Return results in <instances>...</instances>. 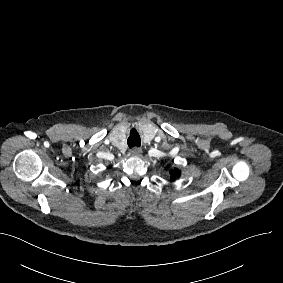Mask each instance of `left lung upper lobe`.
Instances as JSON below:
<instances>
[{"label": "left lung upper lobe", "mask_w": 283, "mask_h": 283, "mask_svg": "<svg viewBox=\"0 0 283 283\" xmlns=\"http://www.w3.org/2000/svg\"><path fill=\"white\" fill-rule=\"evenodd\" d=\"M179 177H180V171L178 169H174V170L170 171L171 180H176Z\"/></svg>", "instance_id": "5c2ea615"}]
</instances>
